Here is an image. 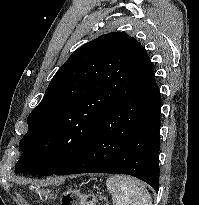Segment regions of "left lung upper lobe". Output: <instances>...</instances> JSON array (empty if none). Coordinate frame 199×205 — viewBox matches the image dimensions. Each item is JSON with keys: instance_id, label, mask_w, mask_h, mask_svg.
Masks as SVG:
<instances>
[{"instance_id": "1", "label": "left lung upper lobe", "mask_w": 199, "mask_h": 205, "mask_svg": "<svg viewBox=\"0 0 199 205\" xmlns=\"http://www.w3.org/2000/svg\"><path fill=\"white\" fill-rule=\"evenodd\" d=\"M143 50L128 34L111 32L73 52L28 116L15 171L52 175L73 163L129 88Z\"/></svg>"}]
</instances>
